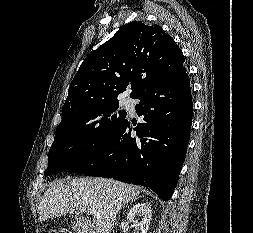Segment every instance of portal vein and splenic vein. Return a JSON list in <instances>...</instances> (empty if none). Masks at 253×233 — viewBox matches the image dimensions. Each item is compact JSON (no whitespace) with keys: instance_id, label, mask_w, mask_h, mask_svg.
Wrapping results in <instances>:
<instances>
[{"instance_id":"1","label":"portal vein and splenic vein","mask_w":253,"mask_h":233,"mask_svg":"<svg viewBox=\"0 0 253 233\" xmlns=\"http://www.w3.org/2000/svg\"><path fill=\"white\" fill-rule=\"evenodd\" d=\"M89 213L95 216H99V213L95 209H90Z\"/></svg>"}]
</instances>
